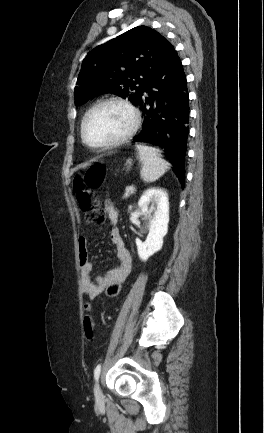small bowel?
I'll return each instance as SVG.
<instances>
[{
	"instance_id": "obj_1",
	"label": "small bowel",
	"mask_w": 264,
	"mask_h": 433,
	"mask_svg": "<svg viewBox=\"0 0 264 433\" xmlns=\"http://www.w3.org/2000/svg\"><path fill=\"white\" fill-rule=\"evenodd\" d=\"M104 209L113 227L110 237L115 248L118 265L105 274L96 276L94 274V266L89 260L87 240L84 237L79 238L78 244L81 287L84 295L89 300H93L99 296L108 285L114 282L123 283L130 275L132 270V257L121 237L119 230L118 211L114 203L110 200H105ZM93 330V318L91 315H86L84 317V331L88 339L93 338Z\"/></svg>"
}]
</instances>
